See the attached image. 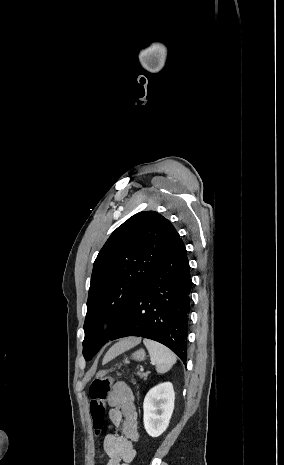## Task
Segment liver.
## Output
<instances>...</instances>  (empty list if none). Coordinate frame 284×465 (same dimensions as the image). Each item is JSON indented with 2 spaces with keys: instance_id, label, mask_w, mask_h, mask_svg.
<instances>
[{
  "instance_id": "liver-1",
  "label": "liver",
  "mask_w": 284,
  "mask_h": 465,
  "mask_svg": "<svg viewBox=\"0 0 284 465\" xmlns=\"http://www.w3.org/2000/svg\"><path fill=\"white\" fill-rule=\"evenodd\" d=\"M140 341L141 337H127V339H122L119 343H115L108 353H106L102 365H106V363H109V361H112V359H115L121 353H125V351H129L135 345H139Z\"/></svg>"
}]
</instances>
